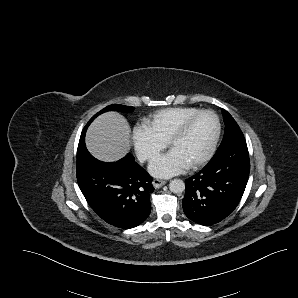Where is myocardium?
Masks as SVG:
<instances>
[{
    "label": "myocardium",
    "instance_id": "myocardium-1",
    "mask_svg": "<svg viewBox=\"0 0 298 298\" xmlns=\"http://www.w3.org/2000/svg\"><path fill=\"white\" fill-rule=\"evenodd\" d=\"M204 115H208L212 118L213 122H214V134L212 136V139L206 149V151L199 157L197 158L193 163H191L188 167L189 168H194L200 164H202L203 162H205L210 155L212 154V151L216 145V142L218 140L219 137V133H220V127H219V121L217 119V117L210 111L207 110H201L189 117H187L186 119L180 121L176 127L169 133V135L166 137V143H167V147L170 149L172 143L187 129V127L193 122L195 121L197 118L204 116Z\"/></svg>",
    "mask_w": 298,
    "mask_h": 298
}]
</instances>
